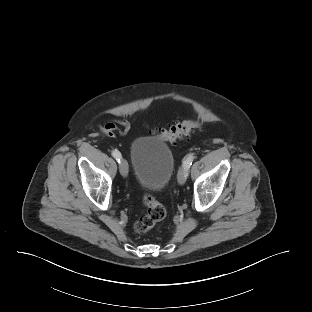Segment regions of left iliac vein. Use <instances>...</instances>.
Returning a JSON list of instances; mask_svg holds the SVG:
<instances>
[{"label":"left iliac vein","instance_id":"1","mask_svg":"<svg viewBox=\"0 0 312 312\" xmlns=\"http://www.w3.org/2000/svg\"><path fill=\"white\" fill-rule=\"evenodd\" d=\"M187 176H188V170L184 166H182L179 169L178 175H177L178 183L180 185H183L186 182Z\"/></svg>","mask_w":312,"mask_h":312}]
</instances>
